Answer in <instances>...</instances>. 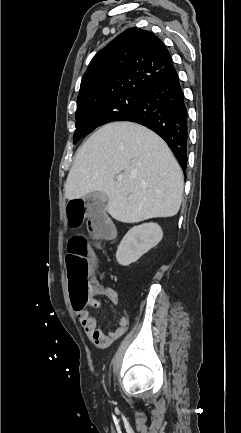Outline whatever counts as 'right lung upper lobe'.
Returning <instances> with one entry per match:
<instances>
[{
  "label": "right lung upper lobe",
  "mask_w": 241,
  "mask_h": 433,
  "mask_svg": "<svg viewBox=\"0 0 241 433\" xmlns=\"http://www.w3.org/2000/svg\"><path fill=\"white\" fill-rule=\"evenodd\" d=\"M176 73L169 51L152 33L130 28L91 60L77 104L125 91L144 90Z\"/></svg>",
  "instance_id": "right-lung-upper-lobe-1"
}]
</instances>
